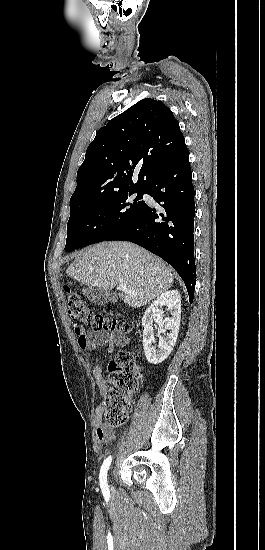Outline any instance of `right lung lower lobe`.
Segmentation results:
<instances>
[{
  "label": "right lung lower lobe",
  "instance_id": "right-lung-lower-lobe-1",
  "mask_svg": "<svg viewBox=\"0 0 265 550\" xmlns=\"http://www.w3.org/2000/svg\"><path fill=\"white\" fill-rule=\"evenodd\" d=\"M187 148L150 183L147 194L158 208L143 211L105 241L136 243L175 268L185 283L192 303L196 283L194 259V188Z\"/></svg>",
  "mask_w": 265,
  "mask_h": 550
}]
</instances>
